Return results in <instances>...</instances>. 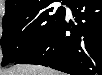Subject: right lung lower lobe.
<instances>
[{
	"instance_id": "1",
	"label": "right lung lower lobe",
	"mask_w": 102,
	"mask_h": 75,
	"mask_svg": "<svg viewBox=\"0 0 102 75\" xmlns=\"http://www.w3.org/2000/svg\"><path fill=\"white\" fill-rule=\"evenodd\" d=\"M75 23L64 19L15 64H39L71 75L102 74V2L68 0ZM70 32V35H66Z\"/></svg>"
}]
</instances>
